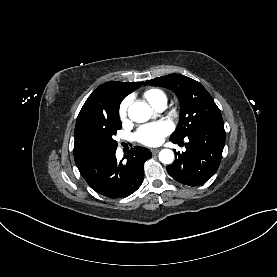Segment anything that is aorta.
Wrapping results in <instances>:
<instances>
[{
    "label": "aorta",
    "mask_w": 277,
    "mask_h": 277,
    "mask_svg": "<svg viewBox=\"0 0 277 277\" xmlns=\"http://www.w3.org/2000/svg\"><path fill=\"white\" fill-rule=\"evenodd\" d=\"M152 114V109L147 103L135 102L128 108L129 118L138 123L146 122ZM159 160L164 164H171L174 160V153L170 149H163L159 153Z\"/></svg>",
    "instance_id": "1"
}]
</instances>
